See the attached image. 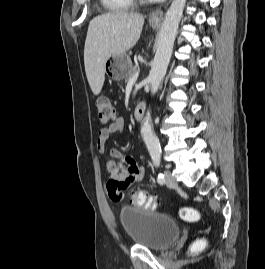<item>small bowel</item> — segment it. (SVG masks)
<instances>
[{"instance_id": "obj_1", "label": "small bowel", "mask_w": 265, "mask_h": 269, "mask_svg": "<svg viewBox=\"0 0 265 269\" xmlns=\"http://www.w3.org/2000/svg\"><path fill=\"white\" fill-rule=\"evenodd\" d=\"M124 128V120L117 119L112 124L103 127L98 132L96 148L99 153L109 155L105 162L107 172V189L113 202H121L124 191L128 187L142 181L144 167L133 157L124 155L116 148L107 149L106 142L113 134L120 133Z\"/></svg>"}]
</instances>
